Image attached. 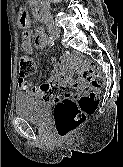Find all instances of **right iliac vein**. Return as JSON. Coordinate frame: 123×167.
<instances>
[{
  "instance_id": "1",
  "label": "right iliac vein",
  "mask_w": 123,
  "mask_h": 167,
  "mask_svg": "<svg viewBox=\"0 0 123 167\" xmlns=\"http://www.w3.org/2000/svg\"><path fill=\"white\" fill-rule=\"evenodd\" d=\"M49 33L52 37L54 38H58L60 36V31L58 28L56 27H52L50 30H49Z\"/></svg>"
}]
</instances>
